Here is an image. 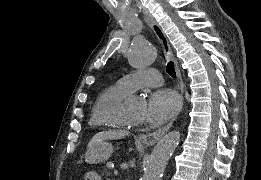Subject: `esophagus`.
<instances>
[{
    "label": "esophagus",
    "mask_w": 261,
    "mask_h": 180,
    "mask_svg": "<svg viewBox=\"0 0 261 180\" xmlns=\"http://www.w3.org/2000/svg\"><path fill=\"white\" fill-rule=\"evenodd\" d=\"M146 15H148L149 20H150V25L152 30L154 31V33L157 35L162 48H163V53L164 56L167 60L172 59L174 62V68H175V72H176V76L178 78L179 84H180V91H181V97H180V107H182L183 105V92H184V83L182 80V76H181V72L178 66V62L175 58V56L173 55V51L172 48L169 44V41L165 35V33L163 32L162 28L160 27L159 23L156 22V20L149 15L147 12H144ZM181 109V108H180ZM176 117H174L169 123H167V125H165L162 128H159V130H156L153 133H146L140 136V139L143 143H145L146 145H155L156 142H158V140H160L161 137H163V135L169 130V128H171L174 120Z\"/></svg>",
    "instance_id": "1"
}]
</instances>
